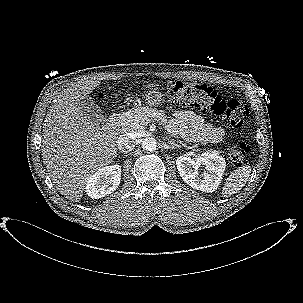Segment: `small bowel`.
Masks as SVG:
<instances>
[{"label":"small bowel","mask_w":303,"mask_h":303,"mask_svg":"<svg viewBox=\"0 0 303 303\" xmlns=\"http://www.w3.org/2000/svg\"><path fill=\"white\" fill-rule=\"evenodd\" d=\"M172 133H178L189 142H209L218 144L222 141L224 130L221 127L206 124L204 119L190 110L176 114L169 125Z\"/></svg>","instance_id":"small-bowel-1"}]
</instances>
